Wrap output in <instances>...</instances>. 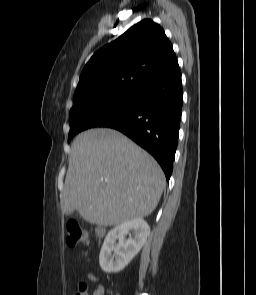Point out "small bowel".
<instances>
[{
    "mask_svg": "<svg viewBox=\"0 0 256 295\" xmlns=\"http://www.w3.org/2000/svg\"><path fill=\"white\" fill-rule=\"evenodd\" d=\"M86 278L97 283L93 295H104V288L103 286L99 283V280L96 276H94L93 274H87Z\"/></svg>",
    "mask_w": 256,
    "mask_h": 295,
    "instance_id": "obj_1",
    "label": "small bowel"
}]
</instances>
